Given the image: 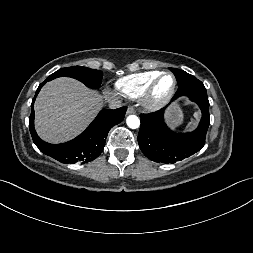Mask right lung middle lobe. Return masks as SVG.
Masks as SVG:
<instances>
[{
  "label": "right lung middle lobe",
  "instance_id": "right-lung-middle-lobe-1",
  "mask_svg": "<svg viewBox=\"0 0 253 253\" xmlns=\"http://www.w3.org/2000/svg\"><path fill=\"white\" fill-rule=\"evenodd\" d=\"M61 76L75 78L90 88L98 89L102 82L103 73L95 69H90V68L81 67V66H73V67L62 68L54 72L48 77V79L53 80Z\"/></svg>",
  "mask_w": 253,
  "mask_h": 253
}]
</instances>
